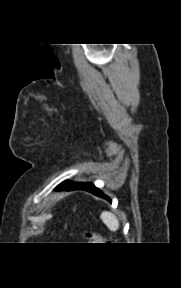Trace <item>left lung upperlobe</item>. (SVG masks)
<instances>
[{"label":"left lung upper lobe","instance_id":"5c2ea615","mask_svg":"<svg viewBox=\"0 0 181 288\" xmlns=\"http://www.w3.org/2000/svg\"><path fill=\"white\" fill-rule=\"evenodd\" d=\"M71 184H73V183H71V182H63V183H61V185H66V186H69Z\"/></svg>","mask_w":181,"mask_h":288}]
</instances>
